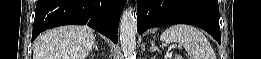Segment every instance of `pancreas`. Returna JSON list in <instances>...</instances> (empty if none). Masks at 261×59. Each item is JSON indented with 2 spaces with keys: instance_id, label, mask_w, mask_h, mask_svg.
I'll return each mask as SVG.
<instances>
[{
  "instance_id": "cf45deb5",
  "label": "pancreas",
  "mask_w": 261,
  "mask_h": 59,
  "mask_svg": "<svg viewBox=\"0 0 261 59\" xmlns=\"http://www.w3.org/2000/svg\"><path fill=\"white\" fill-rule=\"evenodd\" d=\"M174 59H181V57H179V56H175V58Z\"/></svg>"
}]
</instances>
